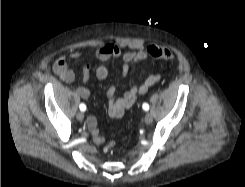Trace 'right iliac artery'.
<instances>
[{"mask_svg": "<svg viewBox=\"0 0 245 187\" xmlns=\"http://www.w3.org/2000/svg\"><path fill=\"white\" fill-rule=\"evenodd\" d=\"M79 108H80L81 111H85L86 110V105L82 103V104H80Z\"/></svg>", "mask_w": 245, "mask_h": 187, "instance_id": "obj_1", "label": "right iliac artery"}]
</instances>
